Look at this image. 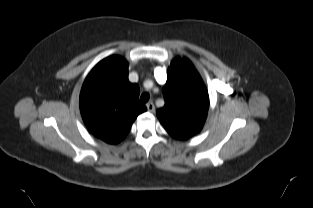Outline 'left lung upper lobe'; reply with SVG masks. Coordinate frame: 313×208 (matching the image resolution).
Returning a JSON list of instances; mask_svg holds the SVG:
<instances>
[{
    "instance_id": "5c2ea615",
    "label": "left lung upper lobe",
    "mask_w": 313,
    "mask_h": 208,
    "mask_svg": "<svg viewBox=\"0 0 313 208\" xmlns=\"http://www.w3.org/2000/svg\"><path fill=\"white\" fill-rule=\"evenodd\" d=\"M165 105L157 117L175 139L187 140L199 133L209 108L208 91L192 65L175 58L168 68L164 90Z\"/></svg>"
}]
</instances>
